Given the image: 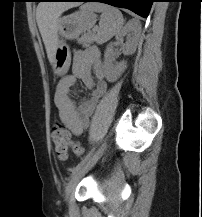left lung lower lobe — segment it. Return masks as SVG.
Listing matches in <instances>:
<instances>
[{
    "instance_id": "obj_1",
    "label": "left lung lower lobe",
    "mask_w": 202,
    "mask_h": 217,
    "mask_svg": "<svg viewBox=\"0 0 202 217\" xmlns=\"http://www.w3.org/2000/svg\"><path fill=\"white\" fill-rule=\"evenodd\" d=\"M41 1H74V2H102L115 7L127 8L141 17H148L152 3L155 0H41Z\"/></svg>"
}]
</instances>
